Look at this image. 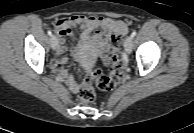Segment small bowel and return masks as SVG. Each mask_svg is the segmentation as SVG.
I'll return each mask as SVG.
<instances>
[{
	"label": "small bowel",
	"instance_id": "obj_1",
	"mask_svg": "<svg viewBox=\"0 0 194 133\" xmlns=\"http://www.w3.org/2000/svg\"><path fill=\"white\" fill-rule=\"evenodd\" d=\"M75 27H80L82 33L80 35V43H92L95 45L104 61L105 65L109 64L106 53L110 50L111 38L114 35H125L128 32L127 25L121 21L108 17L73 15L63 18L56 22L55 31L58 35L57 53L62 54L66 51L65 38H73ZM67 63V58H55L51 62L52 69L57 72L66 82L69 89L77 93L80 85L63 69Z\"/></svg>",
	"mask_w": 194,
	"mask_h": 133
}]
</instances>
